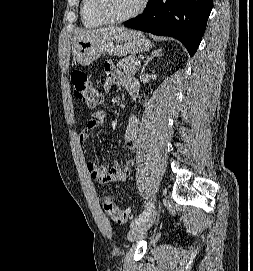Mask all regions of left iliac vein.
Returning a JSON list of instances; mask_svg holds the SVG:
<instances>
[{"label":"left iliac vein","instance_id":"left-iliac-vein-1","mask_svg":"<svg viewBox=\"0 0 253 271\" xmlns=\"http://www.w3.org/2000/svg\"><path fill=\"white\" fill-rule=\"evenodd\" d=\"M156 215H157V212H156L155 206L152 205L149 214L130 229L127 236L128 240L130 242H134V241L139 240L141 237H143V235L154 224Z\"/></svg>","mask_w":253,"mask_h":271}]
</instances>
